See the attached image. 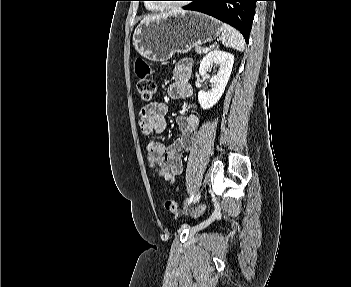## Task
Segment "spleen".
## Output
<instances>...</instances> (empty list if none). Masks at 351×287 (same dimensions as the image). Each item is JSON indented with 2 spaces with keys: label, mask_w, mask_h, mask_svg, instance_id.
Wrapping results in <instances>:
<instances>
[{
  "label": "spleen",
  "mask_w": 351,
  "mask_h": 287,
  "mask_svg": "<svg viewBox=\"0 0 351 287\" xmlns=\"http://www.w3.org/2000/svg\"><path fill=\"white\" fill-rule=\"evenodd\" d=\"M222 28V43L226 47L233 48L237 51H244L245 42L241 33L235 28L225 23L221 24Z\"/></svg>",
  "instance_id": "obj_1"
}]
</instances>
